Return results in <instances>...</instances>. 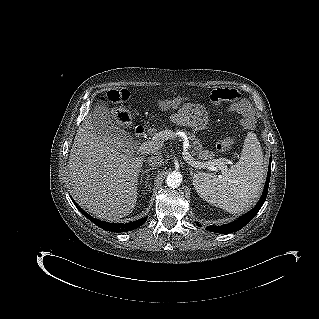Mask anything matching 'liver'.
<instances>
[{
	"label": "liver",
	"mask_w": 319,
	"mask_h": 319,
	"mask_svg": "<svg viewBox=\"0 0 319 319\" xmlns=\"http://www.w3.org/2000/svg\"><path fill=\"white\" fill-rule=\"evenodd\" d=\"M144 156L120 153L101 136L88 114L77 130L69 156L70 185L76 201L95 216L112 220L129 215L137 202Z\"/></svg>",
	"instance_id": "obj_1"
}]
</instances>
